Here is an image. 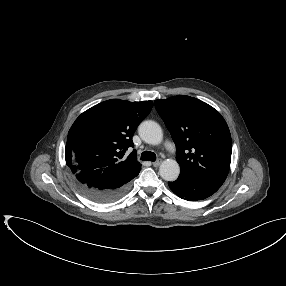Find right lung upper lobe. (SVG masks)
Masks as SVG:
<instances>
[{
    "label": "right lung upper lobe",
    "mask_w": 286,
    "mask_h": 286,
    "mask_svg": "<svg viewBox=\"0 0 286 286\" xmlns=\"http://www.w3.org/2000/svg\"><path fill=\"white\" fill-rule=\"evenodd\" d=\"M152 107V101L111 99L82 113L67 137L65 159L72 173L95 187L121 184L137 175L141 166L135 153H124L133 147V134Z\"/></svg>",
    "instance_id": "right-lung-upper-lobe-1"
}]
</instances>
